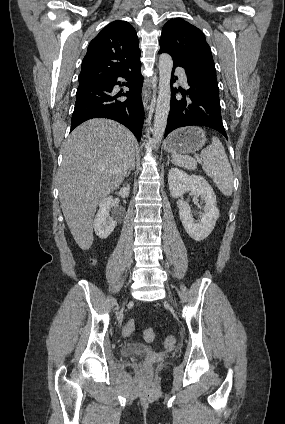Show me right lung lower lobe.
Returning a JSON list of instances; mask_svg holds the SVG:
<instances>
[{"instance_id": "98d812e1", "label": "right lung lower lobe", "mask_w": 285, "mask_h": 424, "mask_svg": "<svg viewBox=\"0 0 285 424\" xmlns=\"http://www.w3.org/2000/svg\"><path fill=\"white\" fill-rule=\"evenodd\" d=\"M118 77L125 78L129 91L115 94L113 87L120 85ZM143 77L140 65L134 69L105 80L80 84L76 93L75 108L71 120V131L92 118L115 120L127 128L140 141L144 121L141 98ZM125 96V101L118 98Z\"/></svg>"}]
</instances>
